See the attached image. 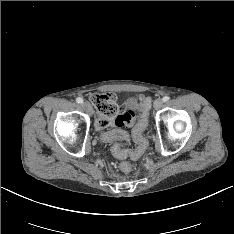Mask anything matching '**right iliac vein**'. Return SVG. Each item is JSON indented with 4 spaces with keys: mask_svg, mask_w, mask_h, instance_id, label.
<instances>
[{
    "mask_svg": "<svg viewBox=\"0 0 234 234\" xmlns=\"http://www.w3.org/2000/svg\"><path fill=\"white\" fill-rule=\"evenodd\" d=\"M82 107H83V109H84L85 112H87L89 114L92 113V107H91V105L88 102H84L82 104Z\"/></svg>",
    "mask_w": 234,
    "mask_h": 234,
    "instance_id": "63e3f726",
    "label": "right iliac vein"
}]
</instances>
